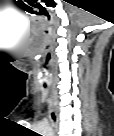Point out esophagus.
<instances>
[{"label":"esophagus","instance_id":"34e87169","mask_svg":"<svg viewBox=\"0 0 114 136\" xmlns=\"http://www.w3.org/2000/svg\"><path fill=\"white\" fill-rule=\"evenodd\" d=\"M49 119L51 122V126L54 132L57 131L59 125L58 113L55 104V95L54 92H51V97L49 101Z\"/></svg>","mask_w":114,"mask_h":136}]
</instances>
